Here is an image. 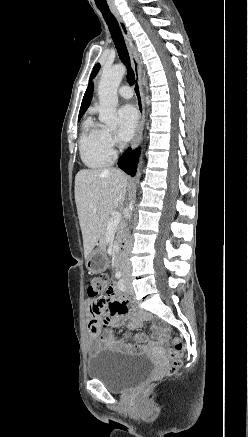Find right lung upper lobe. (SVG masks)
<instances>
[{"instance_id":"right-lung-upper-lobe-1","label":"right lung upper lobe","mask_w":248,"mask_h":437,"mask_svg":"<svg viewBox=\"0 0 248 437\" xmlns=\"http://www.w3.org/2000/svg\"><path fill=\"white\" fill-rule=\"evenodd\" d=\"M92 95H93V84H90V86L87 88L83 100H82V104H81V108H80V112H79V116L83 115V113L87 110L90 101L92 99Z\"/></svg>"}]
</instances>
